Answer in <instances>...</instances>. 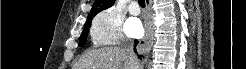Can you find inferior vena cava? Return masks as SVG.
<instances>
[{
  "label": "inferior vena cava",
  "instance_id": "inferior-vena-cava-1",
  "mask_svg": "<svg viewBox=\"0 0 246 69\" xmlns=\"http://www.w3.org/2000/svg\"><path fill=\"white\" fill-rule=\"evenodd\" d=\"M122 48H124L128 53H129V60L134 64L137 65L138 64V59L134 53L133 50V44L130 43L129 45L127 44H123L121 45Z\"/></svg>",
  "mask_w": 246,
  "mask_h": 69
}]
</instances>
